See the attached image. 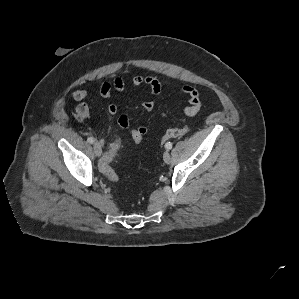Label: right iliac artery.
Listing matches in <instances>:
<instances>
[{
  "mask_svg": "<svg viewBox=\"0 0 299 299\" xmlns=\"http://www.w3.org/2000/svg\"><path fill=\"white\" fill-rule=\"evenodd\" d=\"M87 141H88L90 144H92L95 140H94L93 137H88V138H87Z\"/></svg>",
  "mask_w": 299,
  "mask_h": 299,
  "instance_id": "82829eb1",
  "label": "right iliac artery"
}]
</instances>
